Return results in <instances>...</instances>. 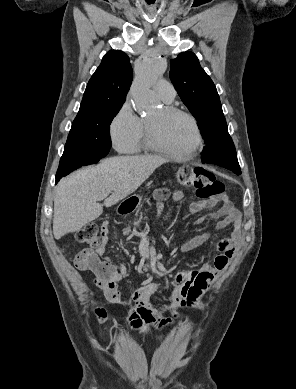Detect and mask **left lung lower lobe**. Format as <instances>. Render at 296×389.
Here are the masks:
<instances>
[{"label": "left lung lower lobe", "instance_id": "left-lung-lower-lobe-1", "mask_svg": "<svg viewBox=\"0 0 296 389\" xmlns=\"http://www.w3.org/2000/svg\"><path fill=\"white\" fill-rule=\"evenodd\" d=\"M202 163L216 164L241 174L235 146L228 133L227 126L217 132L208 145L201 152Z\"/></svg>", "mask_w": 296, "mask_h": 389}]
</instances>
